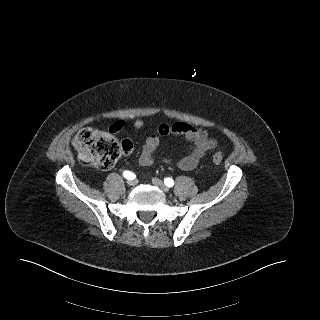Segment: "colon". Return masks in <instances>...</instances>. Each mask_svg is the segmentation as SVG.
<instances>
[{"instance_id":"5ec220e1","label":"colon","mask_w":320,"mask_h":320,"mask_svg":"<svg viewBox=\"0 0 320 320\" xmlns=\"http://www.w3.org/2000/svg\"><path fill=\"white\" fill-rule=\"evenodd\" d=\"M118 126H111L113 133ZM74 145L79 150L83 159L103 170L111 168L121 155V152H128L132 149V144L128 140L119 142L111 133L85 128L80 130L73 139ZM212 160L214 164L220 165L223 156L216 151Z\"/></svg>"}]
</instances>
